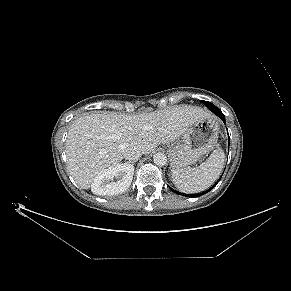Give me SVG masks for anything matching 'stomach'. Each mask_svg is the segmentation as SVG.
I'll return each instance as SVG.
<instances>
[{"instance_id":"0dacf381","label":"stomach","mask_w":291,"mask_h":291,"mask_svg":"<svg viewBox=\"0 0 291 291\" xmlns=\"http://www.w3.org/2000/svg\"><path fill=\"white\" fill-rule=\"evenodd\" d=\"M219 126L217 120L210 116L195 122L168 148L172 170L189 168L202 156L208 154L217 143Z\"/></svg>"}]
</instances>
